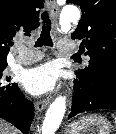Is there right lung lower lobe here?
Masks as SVG:
<instances>
[{"label": "right lung lower lobe", "instance_id": "right-lung-lower-lobe-1", "mask_svg": "<svg viewBox=\"0 0 116 134\" xmlns=\"http://www.w3.org/2000/svg\"><path fill=\"white\" fill-rule=\"evenodd\" d=\"M33 116L34 105L24 99L20 89L10 100L0 101V118L15 125L23 134H28Z\"/></svg>", "mask_w": 116, "mask_h": 134}]
</instances>
